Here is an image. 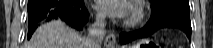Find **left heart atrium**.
<instances>
[{
	"instance_id": "obj_1",
	"label": "left heart atrium",
	"mask_w": 213,
	"mask_h": 48,
	"mask_svg": "<svg viewBox=\"0 0 213 48\" xmlns=\"http://www.w3.org/2000/svg\"><path fill=\"white\" fill-rule=\"evenodd\" d=\"M95 7L101 13L111 17L122 18L129 12L128 3L125 0H98Z\"/></svg>"
}]
</instances>
